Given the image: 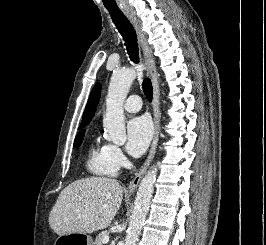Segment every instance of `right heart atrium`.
Instances as JSON below:
<instances>
[{"label":"right heart atrium","instance_id":"obj_1","mask_svg":"<svg viewBox=\"0 0 266 245\" xmlns=\"http://www.w3.org/2000/svg\"><path fill=\"white\" fill-rule=\"evenodd\" d=\"M109 153L113 163L118 167H123L126 163V157L122 149L116 145L109 144Z\"/></svg>","mask_w":266,"mask_h":245}]
</instances>
